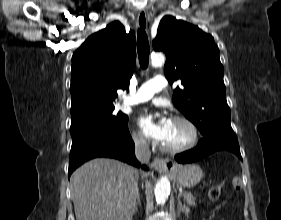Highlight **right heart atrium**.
I'll use <instances>...</instances> for the list:
<instances>
[{"instance_id":"right-heart-atrium-1","label":"right heart atrium","mask_w":281,"mask_h":220,"mask_svg":"<svg viewBox=\"0 0 281 220\" xmlns=\"http://www.w3.org/2000/svg\"><path fill=\"white\" fill-rule=\"evenodd\" d=\"M134 145L139 149H147L150 145L149 141L139 130H134L132 133Z\"/></svg>"}]
</instances>
